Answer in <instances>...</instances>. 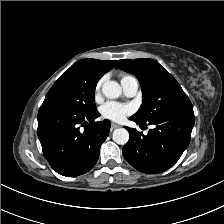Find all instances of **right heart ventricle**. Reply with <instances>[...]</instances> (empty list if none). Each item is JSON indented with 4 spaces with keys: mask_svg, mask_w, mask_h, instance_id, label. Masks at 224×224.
Wrapping results in <instances>:
<instances>
[{
    "mask_svg": "<svg viewBox=\"0 0 224 224\" xmlns=\"http://www.w3.org/2000/svg\"><path fill=\"white\" fill-rule=\"evenodd\" d=\"M129 77H131V76H128V75H122V76H121V82H122L123 80L129 78Z\"/></svg>",
    "mask_w": 224,
    "mask_h": 224,
    "instance_id": "1",
    "label": "right heart ventricle"
}]
</instances>
